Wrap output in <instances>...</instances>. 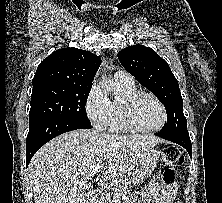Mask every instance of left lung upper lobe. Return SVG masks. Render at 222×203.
Returning a JSON list of instances; mask_svg holds the SVG:
<instances>
[{
  "label": "left lung upper lobe",
  "instance_id": "obj_1",
  "mask_svg": "<svg viewBox=\"0 0 222 203\" xmlns=\"http://www.w3.org/2000/svg\"><path fill=\"white\" fill-rule=\"evenodd\" d=\"M118 59L140 84L164 104L167 123L160 132L188 133L178 81L168 63L154 50L140 44L122 49Z\"/></svg>",
  "mask_w": 222,
  "mask_h": 203
}]
</instances>
